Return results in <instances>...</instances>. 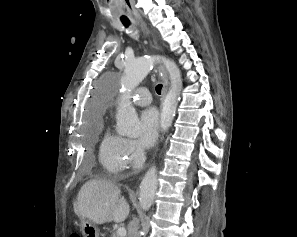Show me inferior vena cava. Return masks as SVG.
<instances>
[{
    "label": "inferior vena cava",
    "instance_id": "602c4592",
    "mask_svg": "<svg viewBox=\"0 0 297 237\" xmlns=\"http://www.w3.org/2000/svg\"><path fill=\"white\" fill-rule=\"evenodd\" d=\"M128 237H140L139 221L137 219H134L129 223V225H128Z\"/></svg>",
    "mask_w": 297,
    "mask_h": 237
}]
</instances>
